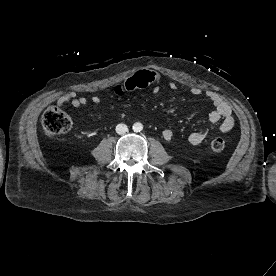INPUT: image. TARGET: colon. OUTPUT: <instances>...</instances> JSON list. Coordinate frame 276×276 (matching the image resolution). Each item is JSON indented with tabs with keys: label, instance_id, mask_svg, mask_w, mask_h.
<instances>
[{
	"label": "colon",
	"instance_id": "obj_1",
	"mask_svg": "<svg viewBox=\"0 0 276 276\" xmlns=\"http://www.w3.org/2000/svg\"><path fill=\"white\" fill-rule=\"evenodd\" d=\"M41 124L44 134L52 138L68 132L72 122L64 111L56 106H51L43 113ZM209 149L215 153L222 152L225 149L224 139L220 137L212 139Z\"/></svg>",
	"mask_w": 276,
	"mask_h": 276
}]
</instances>
